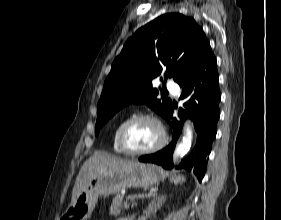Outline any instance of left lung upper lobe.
I'll use <instances>...</instances> for the list:
<instances>
[{
  "mask_svg": "<svg viewBox=\"0 0 281 220\" xmlns=\"http://www.w3.org/2000/svg\"><path fill=\"white\" fill-rule=\"evenodd\" d=\"M208 47L203 29L193 18L179 13L162 15L138 29L113 61L104 82L95 134L129 103H145L167 119L171 100L162 92V99H157L159 91L152 87V81L172 77L178 83L192 60Z\"/></svg>",
  "mask_w": 281,
  "mask_h": 220,
  "instance_id": "left-lung-upper-lobe-1",
  "label": "left lung upper lobe"
}]
</instances>
